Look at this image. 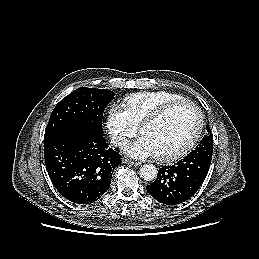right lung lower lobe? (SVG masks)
<instances>
[{
    "label": "right lung lower lobe",
    "mask_w": 259,
    "mask_h": 259,
    "mask_svg": "<svg viewBox=\"0 0 259 259\" xmlns=\"http://www.w3.org/2000/svg\"><path fill=\"white\" fill-rule=\"evenodd\" d=\"M44 158L55 188L77 204L98 200L110 187L113 170L122 163L103 135L86 130L65 132L44 142Z\"/></svg>",
    "instance_id": "1"
}]
</instances>
